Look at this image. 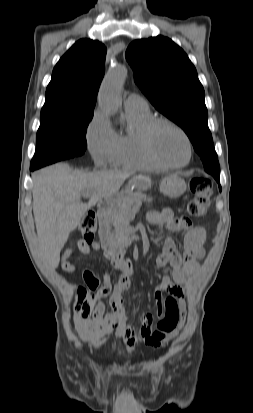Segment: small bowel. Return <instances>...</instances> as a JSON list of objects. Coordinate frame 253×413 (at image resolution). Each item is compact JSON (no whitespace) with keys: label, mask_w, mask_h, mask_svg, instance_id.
I'll use <instances>...</instances> for the list:
<instances>
[{"label":"small bowel","mask_w":253,"mask_h":413,"mask_svg":"<svg viewBox=\"0 0 253 413\" xmlns=\"http://www.w3.org/2000/svg\"><path fill=\"white\" fill-rule=\"evenodd\" d=\"M147 218L153 225L183 233L181 249L172 238L167 237L163 243L162 253L156 261L158 267H165L167 265L171 267V274L162 277L161 282L155 287L153 293L161 313L164 293L177 298L184 296L183 287L188 278L198 270V259L204 255L206 230L202 226H192L188 219L183 217L176 218L173 210L170 208L150 211ZM78 249L83 254H89L91 250L99 251L101 245L98 242L87 244L80 241ZM70 255L71 251L65 252L61 260V266L66 272H73L75 270V266L69 261ZM105 256L111 260L112 266L117 270L118 280L112 287L109 271H105L102 283L99 282L92 271H84L83 277L87 285H96L98 287L99 299L91 318H84L78 315L73 317V324L77 334L84 343L97 349L105 346L113 336L123 338L129 351H134L140 344L151 346L163 344L164 342L156 341L153 336V318L150 314L142 316L138 330H135L134 326L127 319L123 295L130 287L131 264L119 258H112L107 254ZM110 292L109 304L111 311L105 313L102 298L106 297Z\"/></svg>","instance_id":"1"}]
</instances>
